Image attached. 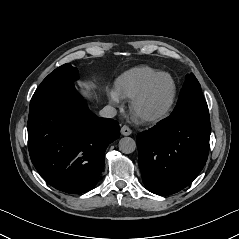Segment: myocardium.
Returning <instances> with one entry per match:
<instances>
[{"label": "myocardium", "instance_id": "myocardium-1", "mask_svg": "<svg viewBox=\"0 0 239 239\" xmlns=\"http://www.w3.org/2000/svg\"><path fill=\"white\" fill-rule=\"evenodd\" d=\"M168 78L171 82V93L170 96L168 98V100L166 101V103L157 111L151 112V113H145V114H139L137 115L135 113V109L136 106L140 103V101L146 96V94L148 93V91L151 89V87L154 85V83L160 79V78ZM177 94V86H176V82L173 79V77L165 72H159L158 74H156L153 78H151L135 95H133L131 97L130 103H129V107L130 110L140 118V120L144 121V122H153V121H157L162 119L171 109L175 97Z\"/></svg>", "mask_w": 239, "mask_h": 239}]
</instances>
